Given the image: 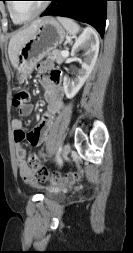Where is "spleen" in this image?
I'll list each match as a JSON object with an SVG mask.
<instances>
[{
  "label": "spleen",
  "mask_w": 133,
  "mask_h": 253,
  "mask_svg": "<svg viewBox=\"0 0 133 253\" xmlns=\"http://www.w3.org/2000/svg\"><path fill=\"white\" fill-rule=\"evenodd\" d=\"M57 19L70 35H76L80 31L79 25L72 19L65 17H58Z\"/></svg>",
  "instance_id": "obj_1"
}]
</instances>
